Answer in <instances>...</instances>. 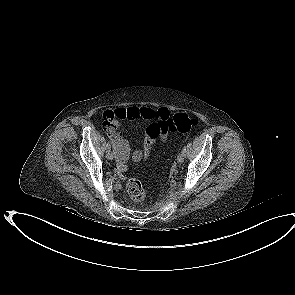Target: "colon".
I'll return each instance as SVG.
<instances>
[{"instance_id":"1","label":"colon","mask_w":295,"mask_h":295,"mask_svg":"<svg viewBox=\"0 0 295 295\" xmlns=\"http://www.w3.org/2000/svg\"><path fill=\"white\" fill-rule=\"evenodd\" d=\"M197 124L198 120L193 115L178 113L173 116L169 115L157 123H152L147 128V132L150 136L157 138L159 135L169 132L187 133ZM127 191L130 198L135 202H142L146 197V193L141 182L136 178L128 180Z\"/></svg>"}]
</instances>
